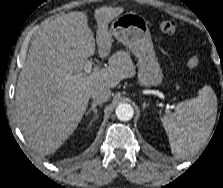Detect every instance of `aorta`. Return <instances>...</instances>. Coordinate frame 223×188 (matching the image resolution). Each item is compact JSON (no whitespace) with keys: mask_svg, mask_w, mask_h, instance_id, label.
Returning a JSON list of instances; mask_svg holds the SVG:
<instances>
[{"mask_svg":"<svg viewBox=\"0 0 223 188\" xmlns=\"http://www.w3.org/2000/svg\"><path fill=\"white\" fill-rule=\"evenodd\" d=\"M116 116L121 121H128L132 119L134 115L133 107L127 103H121L116 108Z\"/></svg>","mask_w":223,"mask_h":188,"instance_id":"762f6f07","label":"aorta"}]
</instances>
